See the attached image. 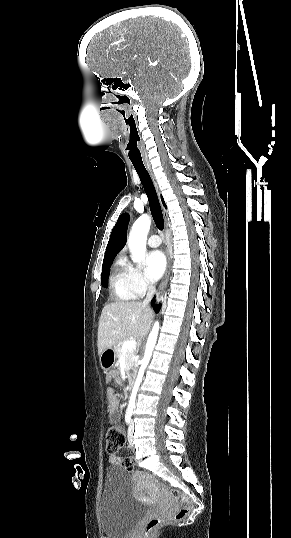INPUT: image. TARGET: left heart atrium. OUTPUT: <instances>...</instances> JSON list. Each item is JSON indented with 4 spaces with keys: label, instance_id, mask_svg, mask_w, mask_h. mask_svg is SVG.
Listing matches in <instances>:
<instances>
[{
    "label": "left heart atrium",
    "instance_id": "1",
    "mask_svg": "<svg viewBox=\"0 0 291 538\" xmlns=\"http://www.w3.org/2000/svg\"><path fill=\"white\" fill-rule=\"evenodd\" d=\"M165 267L166 259L161 251L155 250L148 254L145 267V273L148 279L151 281L158 280L162 276Z\"/></svg>",
    "mask_w": 291,
    "mask_h": 538
}]
</instances>
